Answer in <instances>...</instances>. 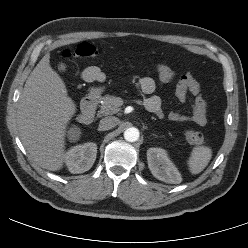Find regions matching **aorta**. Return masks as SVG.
I'll return each instance as SVG.
<instances>
[{"label": "aorta", "mask_w": 248, "mask_h": 248, "mask_svg": "<svg viewBox=\"0 0 248 248\" xmlns=\"http://www.w3.org/2000/svg\"><path fill=\"white\" fill-rule=\"evenodd\" d=\"M139 130L135 127H131L125 130L124 138L128 142H135L139 139Z\"/></svg>", "instance_id": "1"}]
</instances>
